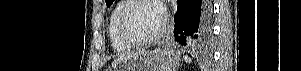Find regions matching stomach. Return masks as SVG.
I'll return each mask as SVG.
<instances>
[{
	"mask_svg": "<svg viewBox=\"0 0 301 71\" xmlns=\"http://www.w3.org/2000/svg\"><path fill=\"white\" fill-rule=\"evenodd\" d=\"M180 58L171 50L142 51L135 57L124 58L109 71H176Z\"/></svg>",
	"mask_w": 301,
	"mask_h": 71,
	"instance_id": "stomach-1",
	"label": "stomach"
}]
</instances>
